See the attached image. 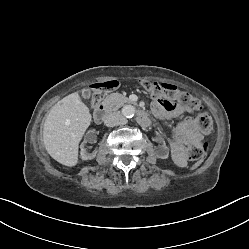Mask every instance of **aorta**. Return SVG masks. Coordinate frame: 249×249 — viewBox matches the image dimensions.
<instances>
[{
	"mask_svg": "<svg viewBox=\"0 0 249 249\" xmlns=\"http://www.w3.org/2000/svg\"><path fill=\"white\" fill-rule=\"evenodd\" d=\"M122 115L125 118H132L135 115V108L131 105H126L122 108Z\"/></svg>",
	"mask_w": 249,
	"mask_h": 249,
	"instance_id": "aorta-1",
	"label": "aorta"
}]
</instances>
